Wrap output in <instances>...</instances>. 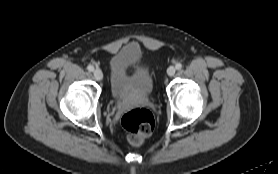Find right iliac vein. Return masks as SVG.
<instances>
[{
    "label": "right iliac vein",
    "instance_id": "63e3f726",
    "mask_svg": "<svg viewBox=\"0 0 278 174\" xmlns=\"http://www.w3.org/2000/svg\"><path fill=\"white\" fill-rule=\"evenodd\" d=\"M93 75L97 81H101L103 79V73L100 69L94 70Z\"/></svg>",
    "mask_w": 278,
    "mask_h": 174
}]
</instances>
